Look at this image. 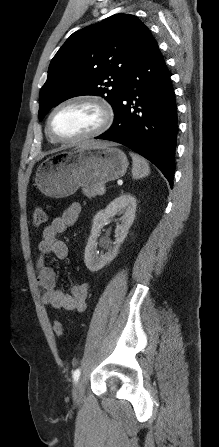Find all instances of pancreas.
<instances>
[{
    "label": "pancreas",
    "instance_id": "cf45deb5",
    "mask_svg": "<svg viewBox=\"0 0 219 447\" xmlns=\"http://www.w3.org/2000/svg\"><path fill=\"white\" fill-rule=\"evenodd\" d=\"M102 188H103L102 185L84 186L82 188V192L88 198H94L97 195H102L103 194L102 191H101Z\"/></svg>",
    "mask_w": 219,
    "mask_h": 447
}]
</instances>
